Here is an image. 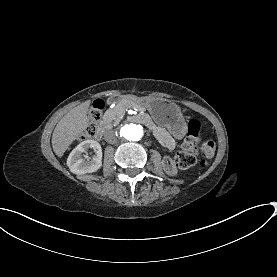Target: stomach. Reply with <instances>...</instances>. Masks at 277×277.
Returning <instances> with one entry per match:
<instances>
[{
	"instance_id": "obj_1",
	"label": "stomach",
	"mask_w": 277,
	"mask_h": 277,
	"mask_svg": "<svg viewBox=\"0 0 277 277\" xmlns=\"http://www.w3.org/2000/svg\"><path fill=\"white\" fill-rule=\"evenodd\" d=\"M134 101L147 109L152 118L158 123L167 127L171 131L179 130L184 125V118L181 107L163 98H133Z\"/></svg>"
}]
</instances>
